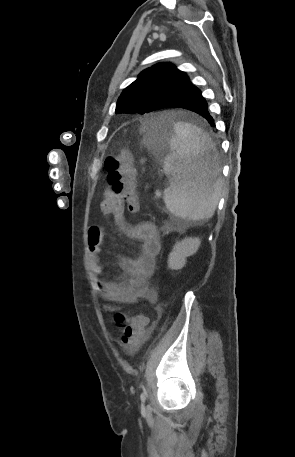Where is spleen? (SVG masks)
<instances>
[{
    "label": "spleen",
    "instance_id": "obj_1",
    "mask_svg": "<svg viewBox=\"0 0 295 457\" xmlns=\"http://www.w3.org/2000/svg\"><path fill=\"white\" fill-rule=\"evenodd\" d=\"M174 131L170 153L163 161L164 173L170 177V186L164 190L165 205L182 219H209L217 208L223 186L217 176V156L212 164L203 158L214 145L208 134L189 123H175Z\"/></svg>",
    "mask_w": 295,
    "mask_h": 457
}]
</instances>
